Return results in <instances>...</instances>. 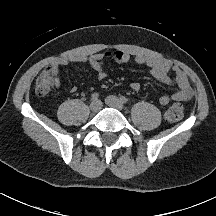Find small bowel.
Listing matches in <instances>:
<instances>
[{
	"instance_id": "small-bowel-1",
	"label": "small bowel",
	"mask_w": 216,
	"mask_h": 216,
	"mask_svg": "<svg viewBox=\"0 0 216 216\" xmlns=\"http://www.w3.org/2000/svg\"><path fill=\"white\" fill-rule=\"evenodd\" d=\"M113 60L119 64H125L134 61L139 65H144L149 68L150 75L157 81L165 85H175L177 91L171 95H162L159 98L161 105H167L171 101H189L193 96L192 88L189 84L186 74L175 64H172L166 59L154 57L145 54L131 55L125 51H112L106 53H99L92 56H74L54 59L46 68L54 75V83L57 87L61 85L59 71L62 67L74 65H89L96 73L97 79L102 80L106 77L105 62ZM173 72L174 79L170 78L169 73ZM131 90L138 92L141 85L138 82L130 84ZM70 92H75L74 88Z\"/></svg>"
}]
</instances>
